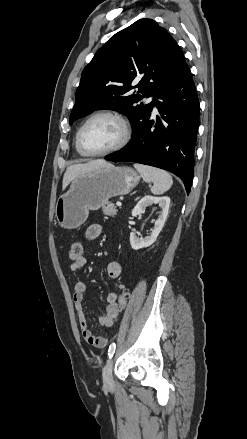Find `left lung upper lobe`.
I'll return each instance as SVG.
<instances>
[{
    "label": "left lung upper lobe",
    "mask_w": 247,
    "mask_h": 439,
    "mask_svg": "<svg viewBox=\"0 0 247 439\" xmlns=\"http://www.w3.org/2000/svg\"><path fill=\"white\" fill-rule=\"evenodd\" d=\"M185 66L182 51L165 28L152 19L136 21L111 37L84 68L70 125L95 110L112 109L126 114L136 132L150 117L154 100L145 106L136 103L155 99Z\"/></svg>",
    "instance_id": "5c2ea615"
}]
</instances>
